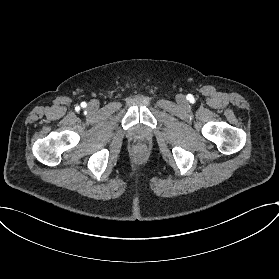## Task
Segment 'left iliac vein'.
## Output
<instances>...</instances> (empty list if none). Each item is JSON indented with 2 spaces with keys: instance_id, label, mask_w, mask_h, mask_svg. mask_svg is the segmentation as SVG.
<instances>
[{
  "instance_id": "4c4485c4",
  "label": "left iliac vein",
  "mask_w": 279,
  "mask_h": 279,
  "mask_svg": "<svg viewBox=\"0 0 279 279\" xmlns=\"http://www.w3.org/2000/svg\"><path fill=\"white\" fill-rule=\"evenodd\" d=\"M177 101H178L179 103H184V102H185V97H184L183 95H179V96L177 97Z\"/></svg>"
}]
</instances>
